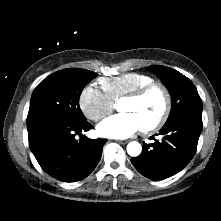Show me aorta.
I'll return each mask as SVG.
<instances>
[{
	"label": "aorta",
	"instance_id": "762f6f07",
	"mask_svg": "<svg viewBox=\"0 0 221 221\" xmlns=\"http://www.w3.org/2000/svg\"><path fill=\"white\" fill-rule=\"evenodd\" d=\"M142 151V146L137 141H132L127 145V153L132 157H137Z\"/></svg>",
	"mask_w": 221,
	"mask_h": 221
}]
</instances>
